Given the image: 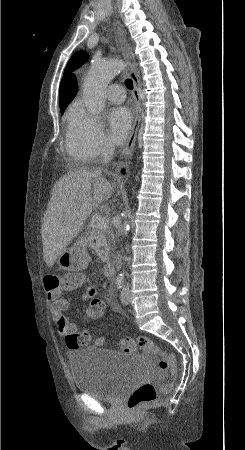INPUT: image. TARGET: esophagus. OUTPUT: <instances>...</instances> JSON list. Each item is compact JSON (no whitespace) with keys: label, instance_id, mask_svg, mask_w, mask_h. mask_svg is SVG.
<instances>
[{"label":"esophagus","instance_id":"34e87169","mask_svg":"<svg viewBox=\"0 0 245 450\" xmlns=\"http://www.w3.org/2000/svg\"><path fill=\"white\" fill-rule=\"evenodd\" d=\"M125 36H126L125 29L120 23H118L116 29L117 44L119 45L120 50L122 51V54L129 65V72L134 85L133 98L135 102L134 121L132 124L130 134L128 136V140L121 152V159L123 160L120 162L119 164L120 166L124 163V160L127 159L134 150L141 118L140 83L138 75L135 71L134 55L131 47L126 42Z\"/></svg>","mask_w":245,"mask_h":450}]
</instances>
